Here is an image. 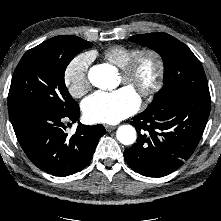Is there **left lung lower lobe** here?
<instances>
[{"mask_svg":"<svg viewBox=\"0 0 221 221\" xmlns=\"http://www.w3.org/2000/svg\"><path fill=\"white\" fill-rule=\"evenodd\" d=\"M211 101L184 95L165 101L154 111L132 118L136 143L124 151L127 164L147 177L166 176L184 164L204 132Z\"/></svg>","mask_w":221,"mask_h":221,"instance_id":"obj_1","label":"left lung lower lobe"}]
</instances>
